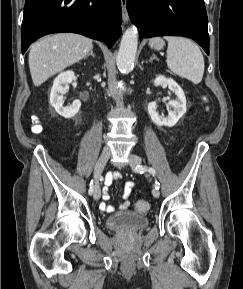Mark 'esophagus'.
<instances>
[{
  "mask_svg": "<svg viewBox=\"0 0 243 289\" xmlns=\"http://www.w3.org/2000/svg\"><path fill=\"white\" fill-rule=\"evenodd\" d=\"M127 0H121V7H122V18L124 22L129 21V15L126 8Z\"/></svg>",
  "mask_w": 243,
  "mask_h": 289,
  "instance_id": "esophagus-1",
  "label": "esophagus"
}]
</instances>
